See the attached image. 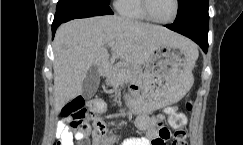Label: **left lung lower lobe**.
<instances>
[{
    "label": "left lung lower lobe",
    "mask_w": 243,
    "mask_h": 145,
    "mask_svg": "<svg viewBox=\"0 0 243 145\" xmlns=\"http://www.w3.org/2000/svg\"><path fill=\"white\" fill-rule=\"evenodd\" d=\"M180 14H177V17L173 24L167 25L166 27L181 33L193 41H195L203 49L205 53L208 50V35L200 28L199 25L193 24L191 21L188 22L179 17Z\"/></svg>",
    "instance_id": "1"
}]
</instances>
